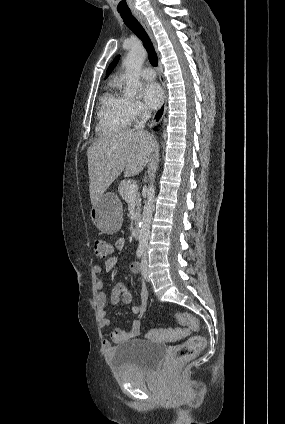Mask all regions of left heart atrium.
<instances>
[{
	"mask_svg": "<svg viewBox=\"0 0 285 424\" xmlns=\"http://www.w3.org/2000/svg\"><path fill=\"white\" fill-rule=\"evenodd\" d=\"M142 98L149 109H156L163 100V92L156 82H146L141 90Z\"/></svg>",
	"mask_w": 285,
	"mask_h": 424,
	"instance_id": "1",
	"label": "left heart atrium"
}]
</instances>
